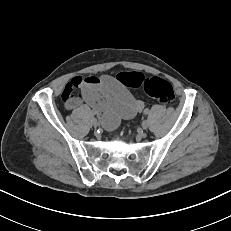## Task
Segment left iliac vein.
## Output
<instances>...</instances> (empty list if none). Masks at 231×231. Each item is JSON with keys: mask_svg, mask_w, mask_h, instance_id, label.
I'll return each mask as SVG.
<instances>
[{"mask_svg": "<svg viewBox=\"0 0 231 231\" xmlns=\"http://www.w3.org/2000/svg\"><path fill=\"white\" fill-rule=\"evenodd\" d=\"M148 127H149V121L148 120H143L142 128L145 130V129H148Z\"/></svg>", "mask_w": 231, "mask_h": 231, "instance_id": "left-iliac-vein-1", "label": "left iliac vein"}]
</instances>
